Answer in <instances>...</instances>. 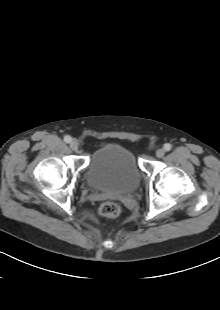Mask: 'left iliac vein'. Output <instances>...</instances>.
Wrapping results in <instances>:
<instances>
[{"label": "left iliac vein", "mask_w": 220, "mask_h": 310, "mask_svg": "<svg viewBox=\"0 0 220 310\" xmlns=\"http://www.w3.org/2000/svg\"><path fill=\"white\" fill-rule=\"evenodd\" d=\"M164 155H165V150H164V149H158V150L156 151V156H157L158 158H162Z\"/></svg>", "instance_id": "left-iliac-vein-1"}]
</instances>
